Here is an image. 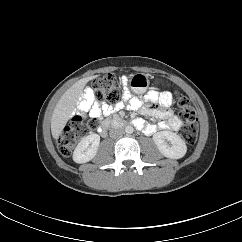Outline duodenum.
I'll return each instance as SVG.
<instances>
[{"label": "duodenum", "instance_id": "duodenum-1", "mask_svg": "<svg viewBox=\"0 0 242 242\" xmlns=\"http://www.w3.org/2000/svg\"><path fill=\"white\" fill-rule=\"evenodd\" d=\"M133 122L130 120H124L117 117H112L104 123V128L102 130V135H106L111 127H124L130 126Z\"/></svg>", "mask_w": 242, "mask_h": 242}]
</instances>
